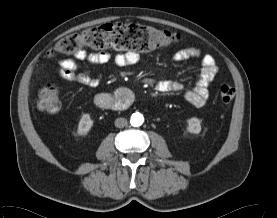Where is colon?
Masks as SVG:
<instances>
[{"mask_svg":"<svg viewBox=\"0 0 277 218\" xmlns=\"http://www.w3.org/2000/svg\"><path fill=\"white\" fill-rule=\"evenodd\" d=\"M178 40L173 32L132 23H107L70 34L56 43L49 56L75 55L86 48L115 49L149 52L167 47ZM219 98L229 103L235 96V89L229 84H221ZM59 91L55 85H45L39 94L38 108L54 114L60 110Z\"/></svg>","mask_w":277,"mask_h":218,"instance_id":"colon-1","label":"colon"}]
</instances>
